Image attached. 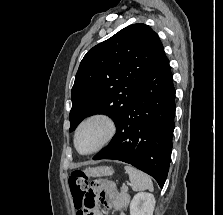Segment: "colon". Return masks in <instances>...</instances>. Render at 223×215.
Listing matches in <instances>:
<instances>
[{"instance_id":"5ec220e1","label":"colon","mask_w":223,"mask_h":215,"mask_svg":"<svg viewBox=\"0 0 223 215\" xmlns=\"http://www.w3.org/2000/svg\"><path fill=\"white\" fill-rule=\"evenodd\" d=\"M87 177L83 171L77 170L69 176V186L72 193L77 215H91L94 207L85 204Z\"/></svg>"}]
</instances>
